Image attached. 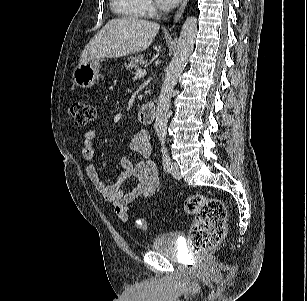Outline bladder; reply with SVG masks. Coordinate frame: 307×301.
Listing matches in <instances>:
<instances>
[{
  "label": "bladder",
  "mask_w": 307,
  "mask_h": 301,
  "mask_svg": "<svg viewBox=\"0 0 307 301\" xmlns=\"http://www.w3.org/2000/svg\"><path fill=\"white\" fill-rule=\"evenodd\" d=\"M179 234L169 232L157 236L151 245V250L163 254L168 258H177L179 254Z\"/></svg>",
  "instance_id": "31cf9c89"
}]
</instances>
